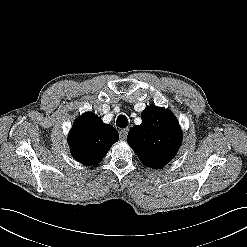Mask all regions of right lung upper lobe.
<instances>
[{"label":"right lung upper lobe","instance_id":"right-lung-upper-lobe-1","mask_svg":"<svg viewBox=\"0 0 247 247\" xmlns=\"http://www.w3.org/2000/svg\"><path fill=\"white\" fill-rule=\"evenodd\" d=\"M118 139L114 127L104 124L97 115L86 112L74 122L68 143L74 159L85 165H94L105 157Z\"/></svg>","mask_w":247,"mask_h":247}]
</instances>
